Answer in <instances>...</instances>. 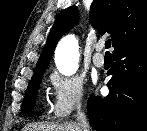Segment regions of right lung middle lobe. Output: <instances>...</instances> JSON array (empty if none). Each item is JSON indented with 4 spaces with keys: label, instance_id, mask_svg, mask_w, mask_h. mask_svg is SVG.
<instances>
[{
    "label": "right lung middle lobe",
    "instance_id": "dd1d6c3e",
    "mask_svg": "<svg viewBox=\"0 0 147 131\" xmlns=\"http://www.w3.org/2000/svg\"><path fill=\"white\" fill-rule=\"evenodd\" d=\"M44 72L45 71H41L37 74H34L31 81L29 82L27 92L22 104L23 113H27L33 109L37 91L41 83Z\"/></svg>",
    "mask_w": 147,
    "mask_h": 131
}]
</instances>
